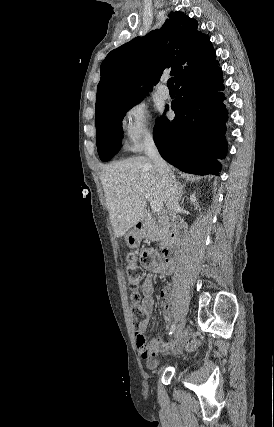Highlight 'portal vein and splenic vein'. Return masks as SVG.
Wrapping results in <instances>:
<instances>
[{
  "label": "portal vein and splenic vein",
  "mask_w": 274,
  "mask_h": 427,
  "mask_svg": "<svg viewBox=\"0 0 274 427\" xmlns=\"http://www.w3.org/2000/svg\"><path fill=\"white\" fill-rule=\"evenodd\" d=\"M145 198L146 200H148V202H150L151 210H153V212H161V210H163L162 202H157V200H152L150 194H145Z\"/></svg>",
  "instance_id": "portal-vein-and-splenic-vein-1"
}]
</instances>
